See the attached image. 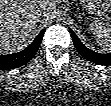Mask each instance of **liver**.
<instances>
[{
	"instance_id": "liver-1",
	"label": "liver",
	"mask_w": 111,
	"mask_h": 106,
	"mask_svg": "<svg viewBox=\"0 0 111 106\" xmlns=\"http://www.w3.org/2000/svg\"><path fill=\"white\" fill-rule=\"evenodd\" d=\"M56 0H1L0 52L6 54L23 48L38 23L37 12L49 14Z\"/></svg>"
}]
</instances>
